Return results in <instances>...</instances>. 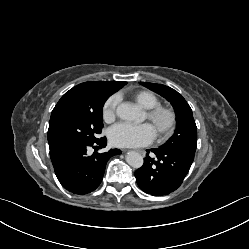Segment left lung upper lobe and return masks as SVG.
Masks as SVG:
<instances>
[{
    "label": "left lung upper lobe",
    "mask_w": 249,
    "mask_h": 249,
    "mask_svg": "<svg viewBox=\"0 0 249 249\" xmlns=\"http://www.w3.org/2000/svg\"><path fill=\"white\" fill-rule=\"evenodd\" d=\"M140 84L166 98L176 112L175 133L159 148L195 153L197 146V127L192 110L186 100L181 94L168 86L148 82H140Z\"/></svg>",
    "instance_id": "obj_1"
}]
</instances>
